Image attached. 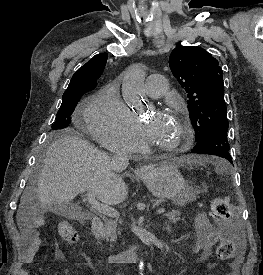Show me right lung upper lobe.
Instances as JSON below:
<instances>
[{"instance_id":"1","label":"right lung upper lobe","mask_w":263,"mask_h":275,"mask_svg":"<svg viewBox=\"0 0 263 275\" xmlns=\"http://www.w3.org/2000/svg\"><path fill=\"white\" fill-rule=\"evenodd\" d=\"M106 61L107 53L98 54L90 59L74 73L64 94L82 89H88L89 91L94 89L98 78L103 73Z\"/></svg>"}]
</instances>
